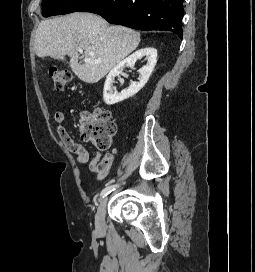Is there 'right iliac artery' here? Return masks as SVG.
<instances>
[{
  "label": "right iliac artery",
  "mask_w": 255,
  "mask_h": 272,
  "mask_svg": "<svg viewBox=\"0 0 255 272\" xmlns=\"http://www.w3.org/2000/svg\"><path fill=\"white\" fill-rule=\"evenodd\" d=\"M116 187H118V185H110L105 187L100 194L101 198H104L105 196H107L111 191H114L116 189Z\"/></svg>",
  "instance_id": "1"
}]
</instances>
